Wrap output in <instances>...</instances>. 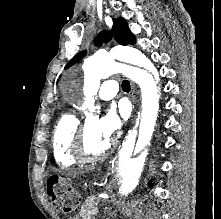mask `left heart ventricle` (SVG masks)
I'll return each mask as SVG.
<instances>
[{
	"mask_svg": "<svg viewBox=\"0 0 221 219\" xmlns=\"http://www.w3.org/2000/svg\"><path fill=\"white\" fill-rule=\"evenodd\" d=\"M109 140L103 137L98 129V121L90 118L86 122L85 150L89 154H97L104 150Z\"/></svg>",
	"mask_w": 221,
	"mask_h": 219,
	"instance_id": "1",
	"label": "left heart ventricle"
}]
</instances>
